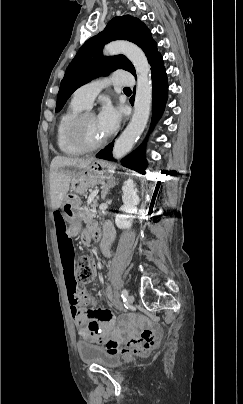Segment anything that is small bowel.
Returning <instances> with one entry per match:
<instances>
[{"instance_id": "small-bowel-1", "label": "small bowel", "mask_w": 243, "mask_h": 404, "mask_svg": "<svg viewBox=\"0 0 243 404\" xmlns=\"http://www.w3.org/2000/svg\"><path fill=\"white\" fill-rule=\"evenodd\" d=\"M54 226L58 249L63 268L64 280L67 293L70 300V313L78 328L79 336L84 341L100 342L108 337H117L119 331L115 325L113 313L104 308L84 309L71 301V294L76 291H82L75 279L74 263L75 252L72 240L66 232V221L63 214L57 210L54 212ZM97 230L94 224H90L83 235V241L88 244L90 234ZM103 240L101 248L105 255H109V247L114 239V230L107 224L104 227Z\"/></svg>"}]
</instances>
